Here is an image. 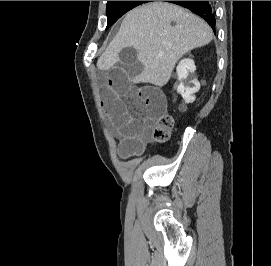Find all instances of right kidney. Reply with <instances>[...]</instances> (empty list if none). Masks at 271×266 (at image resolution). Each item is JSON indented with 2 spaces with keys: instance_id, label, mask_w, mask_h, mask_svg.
Listing matches in <instances>:
<instances>
[{
  "instance_id": "1",
  "label": "right kidney",
  "mask_w": 271,
  "mask_h": 266,
  "mask_svg": "<svg viewBox=\"0 0 271 266\" xmlns=\"http://www.w3.org/2000/svg\"><path fill=\"white\" fill-rule=\"evenodd\" d=\"M195 70L194 60L188 58L182 59L176 68L179 82L176 85L177 92L181 94L186 103L194 102L196 99L194 93L200 89V83L194 76Z\"/></svg>"
}]
</instances>
